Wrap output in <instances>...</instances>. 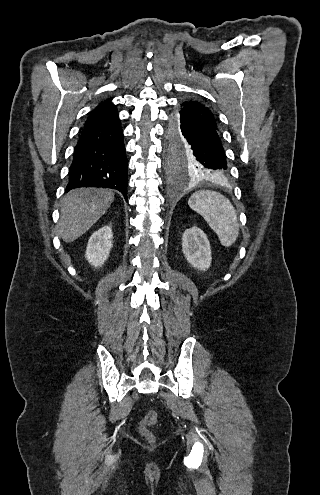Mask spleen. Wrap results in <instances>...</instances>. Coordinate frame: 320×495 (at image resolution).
Segmentation results:
<instances>
[{"instance_id": "obj_1", "label": "spleen", "mask_w": 320, "mask_h": 495, "mask_svg": "<svg viewBox=\"0 0 320 495\" xmlns=\"http://www.w3.org/2000/svg\"><path fill=\"white\" fill-rule=\"evenodd\" d=\"M188 204L200 214L216 233L222 246L230 247L239 235L236 211L221 193L201 190L193 193Z\"/></svg>"}]
</instances>
